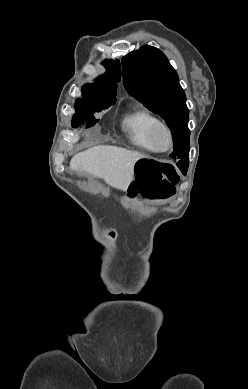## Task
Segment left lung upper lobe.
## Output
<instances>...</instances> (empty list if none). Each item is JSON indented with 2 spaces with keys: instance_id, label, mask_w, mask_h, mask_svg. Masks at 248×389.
<instances>
[{
  "instance_id": "1",
  "label": "left lung upper lobe",
  "mask_w": 248,
  "mask_h": 389,
  "mask_svg": "<svg viewBox=\"0 0 248 389\" xmlns=\"http://www.w3.org/2000/svg\"><path fill=\"white\" fill-rule=\"evenodd\" d=\"M126 90L169 126L174 150L172 158L189 156V110L176 71L159 49L144 45L122 58Z\"/></svg>"
}]
</instances>
